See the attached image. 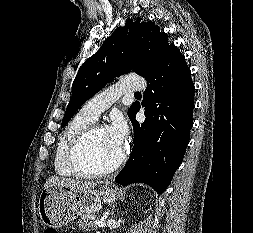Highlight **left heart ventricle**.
<instances>
[{"instance_id":"b2bd125f","label":"left heart ventricle","mask_w":253,"mask_h":233,"mask_svg":"<svg viewBox=\"0 0 253 233\" xmlns=\"http://www.w3.org/2000/svg\"><path fill=\"white\" fill-rule=\"evenodd\" d=\"M121 150L122 147L108 136L106 129L98 127L82 150L80 161L87 169H101L112 164Z\"/></svg>"}]
</instances>
